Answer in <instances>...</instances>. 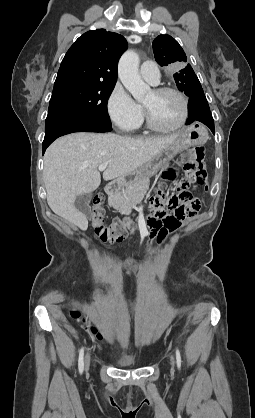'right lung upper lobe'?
I'll return each mask as SVG.
<instances>
[{
    "instance_id": "right-lung-upper-lobe-1",
    "label": "right lung upper lobe",
    "mask_w": 255,
    "mask_h": 418,
    "mask_svg": "<svg viewBox=\"0 0 255 418\" xmlns=\"http://www.w3.org/2000/svg\"><path fill=\"white\" fill-rule=\"evenodd\" d=\"M126 49L127 41L120 34L105 29L84 33L64 56L55 85L70 81L115 84L118 61Z\"/></svg>"
}]
</instances>
